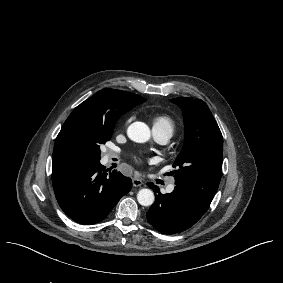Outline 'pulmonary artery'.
Masks as SVG:
<instances>
[{
	"label": "pulmonary artery",
	"instance_id": "obj_1",
	"mask_svg": "<svg viewBox=\"0 0 283 283\" xmlns=\"http://www.w3.org/2000/svg\"><path fill=\"white\" fill-rule=\"evenodd\" d=\"M154 136L156 138V140L161 143V144H165L168 142L169 140V136L165 133H161L158 132L156 130H153ZM114 155L112 153H110L108 155L109 158H112ZM176 184H175V180L173 178L169 179L167 186H166V192L167 193H172L175 190Z\"/></svg>",
	"mask_w": 283,
	"mask_h": 283
}]
</instances>
